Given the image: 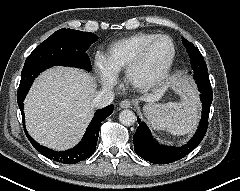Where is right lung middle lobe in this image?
Instances as JSON below:
<instances>
[{
  "instance_id": "obj_1",
  "label": "right lung middle lobe",
  "mask_w": 240,
  "mask_h": 191,
  "mask_svg": "<svg viewBox=\"0 0 240 191\" xmlns=\"http://www.w3.org/2000/svg\"><path fill=\"white\" fill-rule=\"evenodd\" d=\"M97 39L98 36L91 32L60 29L32 51L22 71L52 66H73L90 71L91 62L86 51Z\"/></svg>"
}]
</instances>
